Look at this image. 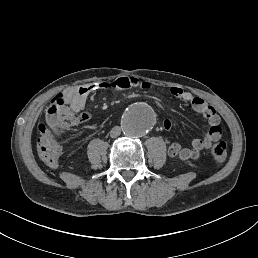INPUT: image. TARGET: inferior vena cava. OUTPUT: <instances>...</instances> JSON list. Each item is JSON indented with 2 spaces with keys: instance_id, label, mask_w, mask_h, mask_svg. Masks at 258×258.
I'll return each mask as SVG.
<instances>
[{
  "instance_id": "602c4592",
  "label": "inferior vena cava",
  "mask_w": 258,
  "mask_h": 258,
  "mask_svg": "<svg viewBox=\"0 0 258 258\" xmlns=\"http://www.w3.org/2000/svg\"><path fill=\"white\" fill-rule=\"evenodd\" d=\"M121 134V127L119 126H115L112 128V130L110 131V136L112 138H116Z\"/></svg>"
}]
</instances>
